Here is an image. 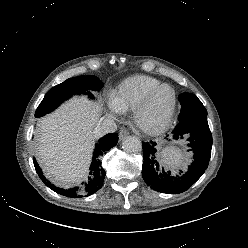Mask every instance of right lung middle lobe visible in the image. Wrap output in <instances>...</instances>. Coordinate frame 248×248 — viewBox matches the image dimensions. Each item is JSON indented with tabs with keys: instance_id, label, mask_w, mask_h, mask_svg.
Masks as SVG:
<instances>
[{
	"instance_id": "1",
	"label": "right lung middle lobe",
	"mask_w": 248,
	"mask_h": 248,
	"mask_svg": "<svg viewBox=\"0 0 248 248\" xmlns=\"http://www.w3.org/2000/svg\"><path fill=\"white\" fill-rule=\"evenodd\" d=\"M101 88L102 82L95 76L69 78L47 92L35 112V117H41L53 111L63 101L72 97L74 94H88L89 97H92L89 90L99 91Z\"/></svg>"
}]
</instances>
